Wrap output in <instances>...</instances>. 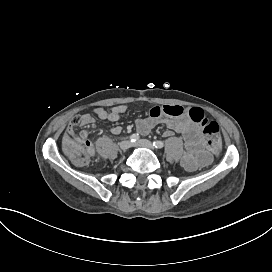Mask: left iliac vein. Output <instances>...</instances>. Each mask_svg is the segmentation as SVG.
Masks as SVG:
<instances>
[{
    "label": "left iliac vein",
    "instance_id": "1",
    "mask_svg": "<svg viewBox=\"0 0 272 272\" xmlns=\"http://www.w3.org/2000/svg\"><path fill=\"white\" fill-rule=\"evenodd\" d=\"M133 146H135V147H145V148H148V149H153L154 148L153 143L150 142L149 140H146V139H141V140L137 141L136 143L133 144Z\"/></svg>",
    "mask_w": 272,
    "mask_h": 272
}]
</instances>
